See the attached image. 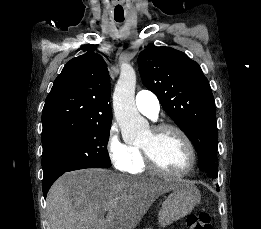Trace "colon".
<instances>
[{
    "label": "colon",
    "mask_w": 261,
    "mask_h": 229,
    "mask_svg": "<svg viewBox=\"0 0 261 229\" xmlns=\"http://www.w3.org/2000/svg\"><path fill=\"white\" fill-rule=\"evenodd\" d=\"M188 229H213L208 213H191L187 217Z\"/></svg>",
    "instance_id": "colon-1"
}]
</instances>
